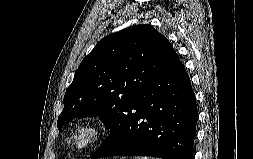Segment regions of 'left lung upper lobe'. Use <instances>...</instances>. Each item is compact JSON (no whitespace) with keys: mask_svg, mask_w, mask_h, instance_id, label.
<instances>
[{"mask_svg":"<svg viewBox=\"0 0 253 159\" xmlns=\"http://www.w3.org/2000/svg\"><path fill=\"white\" fill-rule=\"evenodd\" d=\"M175 56L169 41L149 25L104 37L78 67L58 129L75 118L98 116L112 136L128 106Z\"/></svg>","mask_w":253,"mask_h":159,"instance_id":"1","label":"left lung upper lobe"}]
</instances>
